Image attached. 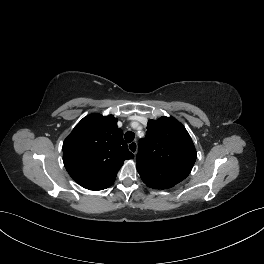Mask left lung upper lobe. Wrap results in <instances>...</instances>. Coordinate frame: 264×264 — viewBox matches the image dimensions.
I'll use <instances>...</instances> for the list:
<instances>
[{
  "instance_id": "left-lung-upper-lobe-1",
  "label": "left lung upper lobe",
  "mask_w": 264,
  "mask_h": 264,
  "mask_svg": "<svg viewBox=\"0 0 264 264\" xmlns=\"http://www.w3.org/2000/svg\"><path fill=\"white\" fill-rule=\"evenodd\" d=\"M197 153L185 127L173 117L149 120L137 154L140 173L160 168L178 183L184 180L196 161Z\"/></svg>"
}]
</instances>
